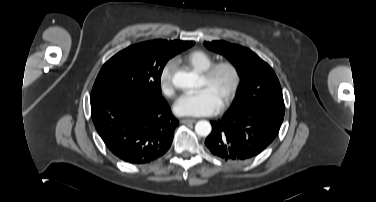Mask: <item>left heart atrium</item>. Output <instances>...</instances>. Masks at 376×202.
Wrapping results in <instances>:
<instances>
[{
    "instance_id": "1",
    "label": "left heart atrium",
    "mask_w": 376,
    "mask_h": 202,
    "mask_svg": "<svg viewBox=\"0 0 376 202\" xmlns=\"http://www.w3.org/2000/svg\"><path fill=\"white\" fill-rule=\"evenodd\" d=\"M220 102L208 87L182 95L174 105L180 116H208L220 109Z\"/></svg>"
}]
</instances>
